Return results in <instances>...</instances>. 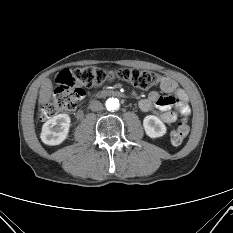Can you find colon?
Returning <instances> with one entry per match:
<instances>
[{
	"label": "colon",
	"mask_w": 233,
	"mask_h": 233,
	"mask_svg": "<svg viewBox=\"0 0 233 233\" xmlns=\"http://www.w3.org/2000/svg\"><path fill=\"white\" fill-rule=\"evenodd\" d=\"M118 79L140 89H148L156 85L160 76L153 71L121 68L105 70L87 66L65 69L57 77L58 87L51 100L41 109L39 119L45 121L60 113L72 111L85 95V89L96 88L106 82ZM189 132L187 123L182 122L171 132L170 140L173 145H180Z\"/></svg>",
	"instance_id": "1"
}]
</instances>
